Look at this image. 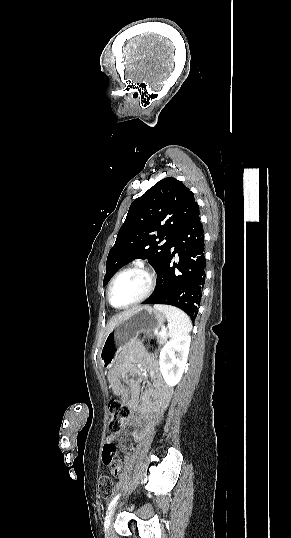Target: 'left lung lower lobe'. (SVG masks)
I'll return each instance as SVG.
<instances>
[{
    "label": "left lung lower lobe",
    "instance_id": "obj_1",
    "mask_svg": "<svg viewBox=\"0 0 291 538\" xmlns=\"http://www.w3.org/2000/svg\"><path fill=\"white\" fill-rule=\"evenodd\" d=\"M175 247L174 252L170 249ZM199 211L176 232L157 272L158 284L142 304H167L185 311L192 321L197 316L205 282V253ZM178 254V263L171 260Z\"/></svg>",
    "mask_w": 291,
    "mask_h": 538
}]
</instances>
